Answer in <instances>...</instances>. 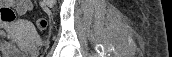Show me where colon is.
<instances>
[{"instance_id": "colon-1", "label": "colon", "mask_w": 172, "mask_h": 57, "mask_svg": "<svg viewBox=\"0 0 172 57\" xmlns=\"http://www.w3.org/2000/svg\"><path fill=\"white\" fill-rule=\"evenodd\" d=\"M15 11L8 6L0 7V20L3 23L11 24L15 20ZM48 22L44 18H39L36 21V26L40 30L46 29Z\"/></svg>"}]
</instances>
